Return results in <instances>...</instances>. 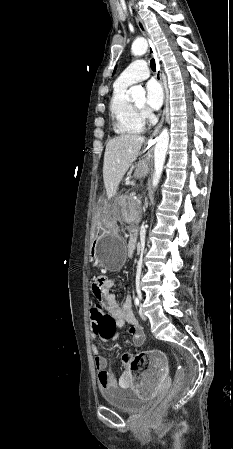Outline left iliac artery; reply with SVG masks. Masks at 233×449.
I'll return each instance as SVG.
<instances>
[{
  "instance_id": "obj_1",
  "label": "left iliac artery",
  "mask_w": 233,
  "mask_h": 449,
  "mask_svg": "<svg viewBox=\"0 0 233 449\" xmlns=\"http://www.w3.org/2000/svg\"><path fill=\"white\" fill-rule=\"evenodd\" d=\"M138 297L139 298H135V303H136V305H139V300L141 299V292L140 291H138Z\"/></svg>"
}]
</instances>
